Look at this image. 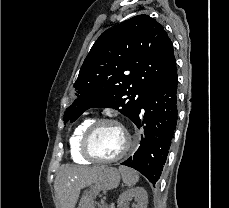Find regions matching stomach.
<instances>
[{
    "mask_svg": "<svg viewBox=\"0 0 229 208\" xmlns=\"http://www.w3.org/2000/svg\"><path fill=\"white\" fill-rule=\"evenodd\" d=\"M121 180L120 172L117 168H110L105 166V170L100 172V176L96 178L93 186H90V190L84 192L79 200L78 208H94L96 202V196H98L101 190H113L119 186Z\"/></svg>",
    "mask_w": 229,
    "mask_h": 208,
    "instance_id": "obj_1",
    "label": "stomach"
}]
</instances>
